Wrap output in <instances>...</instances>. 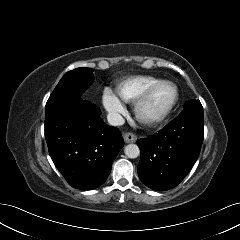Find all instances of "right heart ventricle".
I'll list each match as a JSON object with an SVG mask.
<instances>
[{"instance_id":"1","label":"right heart ventricle","mask_w":240,"mask_h":240,"mask_svg":"<svg viewBox=\"0 0 240 240\" xmlns=\"http://www.w3.org/2000/svg\"><path fill=\"white\" fill-rule=\"evenodd\" d=\"M160 81L163 80L149 75L132 76L119 82L116 87V92L122 101L133 103L149 87Z\"/></svg>"}]
</instances>
